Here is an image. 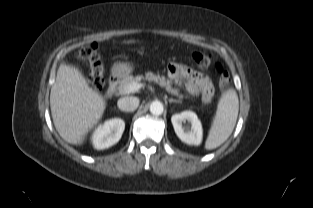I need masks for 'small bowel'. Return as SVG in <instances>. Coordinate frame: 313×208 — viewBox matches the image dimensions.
I'll return each mask as SVG.
<instances>
[{
	"label": "small bowel",
	"mask_w": 313,
	"mask_h": 208,
	"mask_svg": "<svg viewBox=\"0 0 313 208\" xmlns=\"http://www.w3.org/2000/svg\"><path fill=\"white\" fill-rule=\"evenodd\" d=\"M168 73L176 84H184L189 94H201L205 102L212 99L214 87L208 76L178 63H171L168 66Z\"/></svg>",
	"instance_id": "1"
}]
</instances>
